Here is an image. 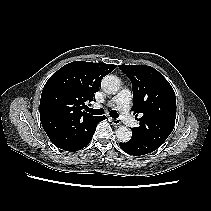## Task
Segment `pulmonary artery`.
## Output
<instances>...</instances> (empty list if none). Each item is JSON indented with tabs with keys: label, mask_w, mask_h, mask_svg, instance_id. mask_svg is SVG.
Instances as JSON below:
<instances>
[{
	"label": "pulmonary artery",
	"mask_w": 211,
	"mask_h": 211,
	"mask_svg": "<svg viewBox=\"0 0 211 211\" xmlns=\"http://www.w3.org/2000/svg\"><path fill=\"white\" fill-rule=\"evenodd\" d=\"M131 92L127 89L121 90L110 102V105L116 106L120 111V117L126 125L135 127L137 125L136 119L129 112L131 102ZM98 107V105H95Z\"/></svg>",
	"instance_id": "1"
}]
</instances>
